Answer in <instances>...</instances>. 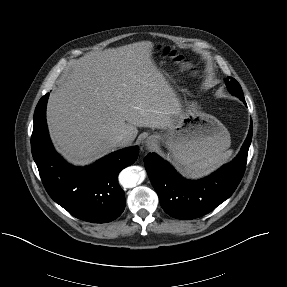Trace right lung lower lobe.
Listing matches in <instances>:
<instances>
[{
  "label": "right lung lower lobe",
  "mask_w": 287,
  "mask_h": 287,
  "mask_svg": "<svg viewBox=\"0 0 287 287\" xmlns=\"http://www.w3.org/2000/svg\"><path fill=\"white\" fill-rule=\"evenodd\" d=\"M48 96L44 95L36 106L31 136L32 155L46 191L78 219L93 223L115 220L125 208L118 173L136 161L139 148L114 152L88 167L70 166L55 152L48 135Z\"/></svg>",
  "instance_id": "98d812e1"
}]
</instances>
